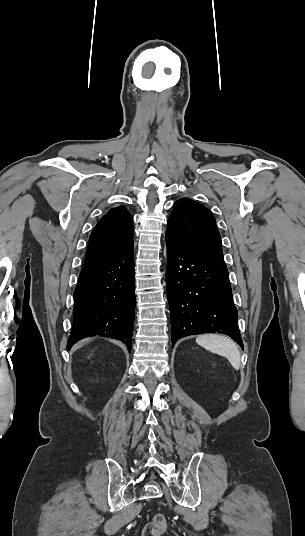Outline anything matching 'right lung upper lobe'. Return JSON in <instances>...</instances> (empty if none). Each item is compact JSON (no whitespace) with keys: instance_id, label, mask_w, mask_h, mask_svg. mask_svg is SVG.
I'll return each instance as SVG.
<instances>
[{"instance_id":"1","label":"right lung upper lobe","mask_w":305,"mask_h":536,"mask_svg":"<svg viewBox=\"0 0 305 536\" xmlns=\"http://www.w3.org/2000/svg\"><path fill=\"white\" fill-rule=\"evenodd\" d=\"M132 216L123 206L104 215L89 238L85 262L103 259L133 248Z\"/></svg>"}]
</instances>
